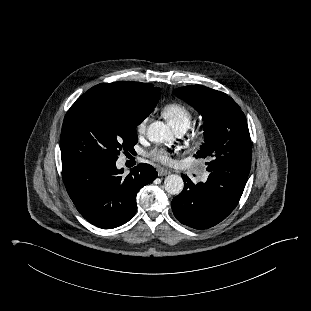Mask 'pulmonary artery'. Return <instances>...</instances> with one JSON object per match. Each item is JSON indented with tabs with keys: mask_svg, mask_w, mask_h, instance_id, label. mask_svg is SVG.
Returning <instances> with one entry per match:
<instances>
[{
	"mask_svg": "<svg viewBox=\"0 0 311 311\" xmlns=\"http://www.w3.org/2000/svg\"><path fill=\"white\" fill-rule=\"evenodd\" d=\"M175 132H176L177 135H182V134H184L185 129H178V130H176ZM207 178H208V174H207V173H204V174L201 176L202 181H206Z\"/></svg>",
	"mask_w": 311,
	"mask_h": 311,
	"instance_id": "pulmonary-artery-1",
	"label": "pulmonary artery"
}]
</instances>
